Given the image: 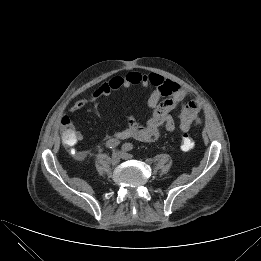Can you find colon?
I'll use <instances>...</instances> for the list:
<instances>
[{
    "mask_svg": "<svg viewBox=\"0 0 261 261\" xmlns=\"http://www.w3.org/2000/svg\"><path fill=\"white\" fill-rule=\"evenodd\" d=\"M62 124V139L66 143H72L75 139V130L68 116H64L61 120ZM194 140L188 134L184 133L181 137V147L184 151H190L194 148Z\"/></svg>",
    "mask_w": 261,
    "mask_h": 261,
    "instance_id": "5ec220e1",
    "label": "colon"
}]
</instances>
